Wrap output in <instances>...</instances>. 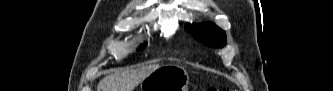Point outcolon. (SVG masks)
Returning <instances> with one entry per match:
<instances>
[{
    "label": "colon",
    "instance_id": "1",
    "mask_svg": "<svg viewBox=\"0 0 333 91\" xmlns=\"http://www.w3.org/2000/svg\"><path fill=\"white\" fill-rule=\"evenodd\" d=\"M217 89H216V87H210V88H208V91H216Z\"/></svg>",
    "mask_w": 333,
    "mask_h": 91
}]
</instances>
